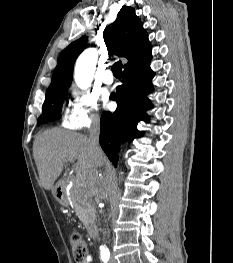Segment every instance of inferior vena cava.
<instances>
[{
	"label": "inferior vena cava",
	"mask_w": 233,
	"mask_h": 263,
	"mask_svg": "<svg viewBox=\"0 0 233 263\" xmlns=\"http://www.w3.org/2000/svg\"><path fill=\"white\" fill-rule=\"evenodd\" d=\"M89 140L96 151L100 150L99 147V133H100V118L98 115L91 117V125L89 128ZM110 263H115V260L111 257Z\"/></svg>",
	"instance_id": "1"
}]
</instances>
